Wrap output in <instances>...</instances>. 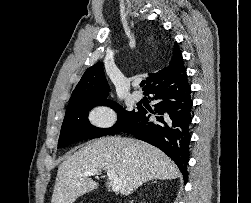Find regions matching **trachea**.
Returning a JSON list of instances; mask_svg holds the SVG:
<instances>
[{
  "label": "trachea",
  "instance_id": "3493384b",
  "mask_svg": "<svg viewBox=\"0 0 251 203\" xmlns=\"http://www.w3.org/2000/svg\"><path fill=\"white\" fill-rule=\"evenodd\" d=\"M145 83H146L145 81H142V82L140 83V86H141V87H144Z\"/></svg>",
  "mask_w": 251,
  "mask_h": 203
}]
</instances>
